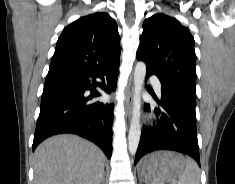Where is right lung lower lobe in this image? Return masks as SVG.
Here are the masks:
<instances>
[{
    "label": "right lung lower lobe",
    "instance_id": "right-lung-lower-lobe-1",
    "mask_svg": "<svg viewBox=\"0 0 235 184\" xmlns=\"http://www.w3.org/2000/svg\"><path fill=\"white\" fill-rule=\"evenodd\" d=\"M119 64L96 72L49 71L41 98L33 140V151L46 138L62 133L84 137L98 145L108 158L112 154L113 104L89 102L101 94L94 89L96 78L107 80L102 89H116ZM91 95L85 97V92Z\"/></svg>",
    "mask_w": 235,
    "mask_h": 184
}]
</instances>
